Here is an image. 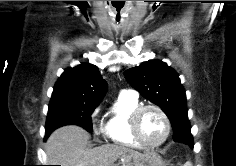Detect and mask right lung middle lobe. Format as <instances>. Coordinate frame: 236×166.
Here are the masks:
<instances>
[{
  "mask_svg": "<svg viewBox=\"0 0 236 166\" xmlns=\"http://www.w3.org/2000/svg\"><path fill=\"white\" fill-rule=\"evenodd\" d=\"M97 106V104L74 100L50 101L45 138L56 128L70 124L81 126L88 132H92L91 114Z\"/></svg>",
  "mask_w": 236,
  "mask_h": 166,
  "instance_id": "1",
  "label": "right lung middle lobe"
}]
</instances>
